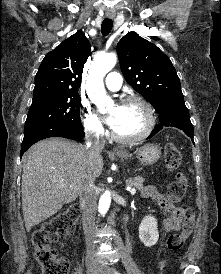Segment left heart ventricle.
I'll return each mask as SVG.
<instances>
[{"label":"left heart ventricle","mask_w":221,"mask_h":274,"mask_svg":"<svg viewBox=\"0 0 221 274\" xmlns=\"http://www.w3.org/2000/svg\"><path fill=\"white\" fill-rule=\"evenodd\" d=\"M110 114L116 116L113 130L124 137H133L140 134L147 124L146 112L137 103L114 106L110 109Z\"/></svg>","instance_id":"obj_1"}]
</instances>
